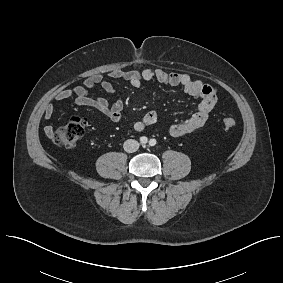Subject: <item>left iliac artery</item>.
<instances>
[{"mask_svg": "<svg viewBox=\"0 0 283 283\" xmlns=\"http://www.w3.org/2000/svg\"><path fill=\"white\" fill-rule=\"evenodd\" d=\"M155 144H156V140H155V139H151V140L149 141V145H150V146H155Z\"/></svg>", "mask_w": 283, "mask_h": 283, "instance_id": "44dca946", "label": "left iliac artery"}]
</instances>
